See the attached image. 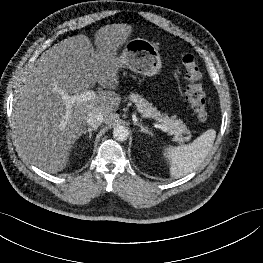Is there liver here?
<instances>
[{
  "label": "liver",
  "mask_w": 263,
  "mask_h": 263,
  "mask_svg": "<svg viewBox=\"0 0 263 263\" xmlns=\"http://www.w3.org/2000/svg\"><path fill=\"white\" fill-rule=\"evenodd\" d=\"M133 29L127 24L100 28L94 35L97 49L85 35L66 38L46 50L23 77L15 91L12 113L17 149L35 166L49 172L63 170L74 144L85 131L87 114L98 110L109 124L120 105L118 48ZM96 83L94 99L75 103L66 125L64 95L86 91Z\"/></svg>",
  "instance_id": "6515ba94"
}]
</instances>
